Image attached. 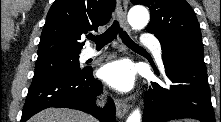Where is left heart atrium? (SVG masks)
<instances>
[{
  "label": "left heart atrium",
  "mask_w": 221,
  "mask_h": 122,
  "mask_svg": "<svg viewBox=\"0 0 221 122\" xmlns=\"http://www.w3.org/2000/svg\"><path fill=\"white\" fill-rule=\"evenodd\" d=\"M101 78L110 86L120 91H128L134 85L133 66L124 60L114 61L100 68Z\"/></svg>",
  "instance_id": "39dd6f15"
}]
</instances>
